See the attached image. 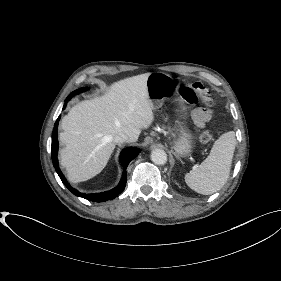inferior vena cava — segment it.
<instances>
[{
    "instance_id": "1",
    "label": "inferior vena cava",
    "mask_w": 281,
    "mask_h": 281,
    "mask_svg": "<svg viewBox=\"0 0 281 281\" xmlns=\"http://www.w3.org/2000/svg\"><path fill=\"white\" fill-rule=\"evenodd\" d=\"M129 141H130V138L125 133H119V134L115 135V137H114L115 143H124V142H129Z\"/></svg>"
}]
</instances>
